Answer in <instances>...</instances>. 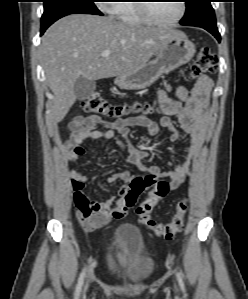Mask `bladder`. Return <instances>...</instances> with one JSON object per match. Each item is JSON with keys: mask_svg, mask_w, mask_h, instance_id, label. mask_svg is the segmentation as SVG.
Returning <instances> with one entry per match:
<instances>
[{"mask_svg": "<svg viewBox=\"0 0 248 299\" xmlns=\"http://www.w3.org/2000/svg\"><path fill=\"white\" fill-rule=\"evenodd\" d=\"M107 258L111 277L124 286H139L148 281L155 270L150 246L139 228L132 223L117 226L107 242Z\"/></svg>", "mask_w": 248, "mask_h": 299, "instance_id": "obj_1", "label": "bladder"}]
</instances>
